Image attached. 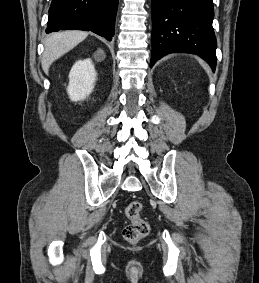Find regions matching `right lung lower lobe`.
Here are the masks:
<instances>
[{
  "label": "right lung lower lobe",
  "instance_id": "obj_1",
  "mask_svg": "<svg viewBox=\"0 0 259 283\" xmlns=\"http://www.w3.org/2000/svg\"><path fill=\"white\" fill-rule=\"evenodd\" d=\"M118 0H52L46 33L92 31L111 41Z\"/></svg>",
  "mask_w": 259,
  "mask_h": 283
}]
</instances>
